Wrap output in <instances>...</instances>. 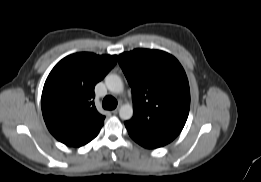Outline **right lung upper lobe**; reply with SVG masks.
<instances>
[{"mask_svg":"<svg viewBox=\"0 0 261 182\" xmlns=\"http://www.w3.org/2000/svg\"><path fill=\"white\" fill-rule=\"evenodd\" d=\"M116 62V55L82 52L63 58L52 69L41 105L46 126L58 141L80 147L98 135L105 117L94 105V87Z\"/></svg>","mask_w":261,"mask_h":182,"instance_id":"right-lung-upper-lobe-1","label":"right lung upper lobe"}]
</instances>
